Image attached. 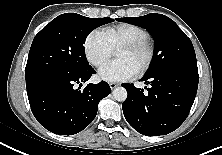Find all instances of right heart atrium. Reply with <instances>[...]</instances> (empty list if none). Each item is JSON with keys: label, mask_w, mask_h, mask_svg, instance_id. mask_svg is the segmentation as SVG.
<instances>
[{"label": "right heart atrium", "mask_w": 222, "mask_h": 155, "mask_svg": "<svg viewBox=\"0 0 222 155\" xmlns=\"http://www.w3.org/2000/svg\"><path fill=\"white\" fill-rule=\"evenodd\" d=\"M84 52L88 62L99 68L110 59L113 50L103 33L99 30H93L84 41Z\"/></svg>", "instance_id": "1"}]
</instances>
